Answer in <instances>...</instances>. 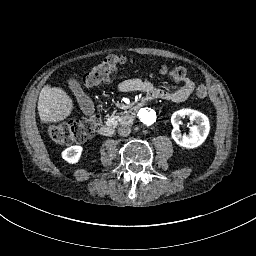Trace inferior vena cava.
<instances>
[{
  "instance_id": "obj_1",
  "label": "inferior vena cava",
  "mask_w": 256,
  "mask_h": 256,
  "mask_svg": "<svg viewBox=\"0 0 256 256\" xmlns=\"http://www.w3.org/2000/svg\"><path fill=\"white\" fill-rule=\"evenodd\" d=\"M131 133V128L128 126H120L118 128V134L120 136L126 137Z\"/></svg>"
}]
</instances>
